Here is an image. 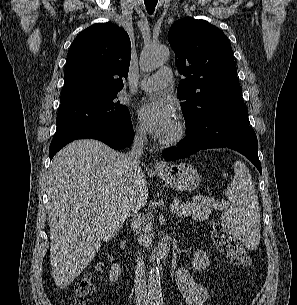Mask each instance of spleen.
I'll use <instances>...</instances> for the list:
<instances>
[{
  "mask_svg": "<svg viewBox=\"0 0 297 305\" xmlns=\"http://www.w3.org/2000/svg\"><path fill=\"white\" fill-rule=\"evenodd\" d=\"M225 194L229 201L221 215L223 223L247 248L256 249L260 242V209L254 183L243 162H235L234 178Z\"/></svg>",
  "mask_w": 297,
  "mask_h": 305,
  "instance_id": "1",
  "label": "spleen"
}]
</instances>
